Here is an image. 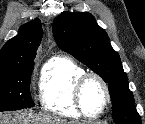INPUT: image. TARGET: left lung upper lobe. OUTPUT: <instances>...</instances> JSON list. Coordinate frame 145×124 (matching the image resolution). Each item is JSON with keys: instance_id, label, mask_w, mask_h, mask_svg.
<instances>
[{"instance_id": "obj_1", "label": "left lung upper lobe", "mask_w": 145, "mask_h": 124, "mask_svg": "<svg viewBox=\"0 0 145 124\" xmlns=\"http://www.w3.org/2000/svg\"><path fill=\"white\" fill-rule=\"evenodd\" d=\"M53 34L61 49L86 64L109 84L114 122L141 124L120 57L94 17L86 12H64L54 19Z\"/></svg>"}]
</instances>
